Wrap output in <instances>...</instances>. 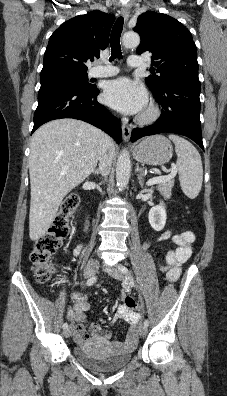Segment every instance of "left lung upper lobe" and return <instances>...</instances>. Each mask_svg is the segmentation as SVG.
Wrapping results in <instances>:
<instances>
[{
    "instance_id": "left-lung-upper-lobe-1",
    "label": "left lung upper lobe",
    "mask_w": 227,
    "mask_h": 396,
    "mask_svg": "<svg viewBox=\"0 0 227 396\" xmlns=\"http://www.w3.org/2000/svg\"><path fill=\"white\" fill-rule=\"evenodd\" d=\"M134 31L141 42L137 53H152V66L159 75L145 78L153 93L176 83L200 85L197 49L190 31L173 17L147 11L138 17ZM155 68H151L153 73Z\"/></svg>"
}]
</instances>
